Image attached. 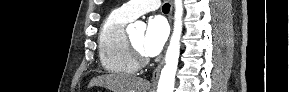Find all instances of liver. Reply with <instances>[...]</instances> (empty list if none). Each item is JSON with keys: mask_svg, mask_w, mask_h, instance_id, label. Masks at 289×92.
Wrapping results in <instances>:
<instances>
[{"mask_svg": "<svg viewBox=\"0 0 289 92\" xmlns=\"http://www.w3.org/2000/svg\"><path fill=\"white\" fill-rule=\"evenodd\" d=\"M93 86L105 87L112 92H147L150 83L134 76L107 74L92 78L88 87Z\"/></svg>", "mask_w": 289, "mask_h": 92, "instance_id": "liver-1", "label": "liver"}]
</instances>
